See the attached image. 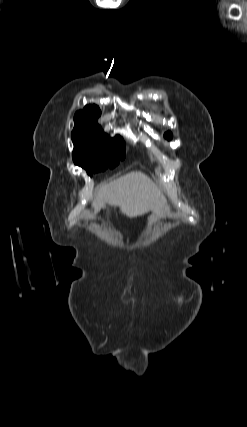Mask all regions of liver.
Wrapping results in <instances>:
<instances>
[{
    "label": "liver",
    "mask_w": 247,
    "mask_h": 427,
    "mask_svg": "<svg viewBox=\"0 0 247 427\" xmlns=\"http://www.w3.org/2000/svg\"><path fill=\"white\" fill-rule=\"evenodd\" d=\"M166 202L161 189L144 173L132 171L102 186L92 201L94 214L106 204L132 218L159 209Z\"/></svg>",
    "instance_id": "liver-1"
}]
</instances>
